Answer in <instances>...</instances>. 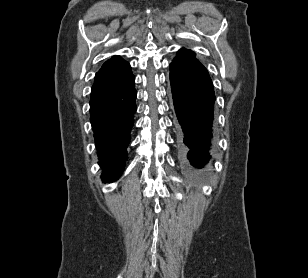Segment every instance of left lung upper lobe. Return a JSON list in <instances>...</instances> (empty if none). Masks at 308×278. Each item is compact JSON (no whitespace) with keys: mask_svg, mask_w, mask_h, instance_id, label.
I'll use <instances>...</instances> for the list:
<instances>
[{"mask_svg":"<svg viewBox=\"0 0 308 278\" xmlns=\"http://www.w3.org/2000/svg\"><path fill=\"white\" fill-rule=\"evenodd\" d=\"M195 52L189 49L182 48L178 51L176 57L173 59V62H185L192 59H195Z\"/></svg>","mask_w":308,"mask_h":278,"instance_id":"1","label":"left lung upper lobe"}]
</instances>
